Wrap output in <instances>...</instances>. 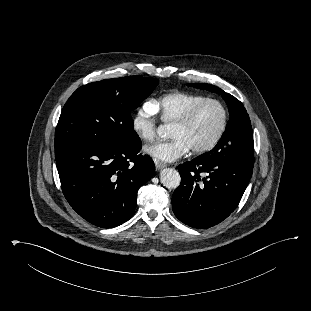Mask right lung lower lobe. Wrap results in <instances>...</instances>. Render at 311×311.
<instances>
[{
  "mask_svg": "<svg viewBox=\"0 0 311 311\" xmlns=\"http://www.w3.org/2000/svg\"><path fill=\"white\" fill-rule=\"evenodd\" d=\"M141 141L122 148L65 145L55 148L62 191L85 220L113 228L132 217L137 191L154 175L151 157L138 154Z\"/></svg>",
  "mask_w": 311,
  "mask_h": 311,
  "instance_id": "1",
  "label": "right lung lower lobe"
}]
</instances>
